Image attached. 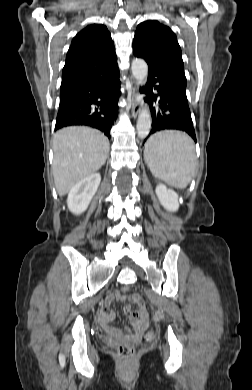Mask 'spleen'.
Returning <instances> with one entry per match:
<instances>
[{"label":"spleen","instance_id":"obj_1","mask_svg":"<svg viewBox=\"0 0 252 390\" xmlns=\"http://www.w3.org/2000/svg\"><path fill=\"white\" fill-rule=\"evenodd\" d=\"M144 158L155 177L175 188H185L195 168V146L185 133L159 132L147 141Z\"/></svg>","mask_w":252,"mask_h":390}]
</instances>
